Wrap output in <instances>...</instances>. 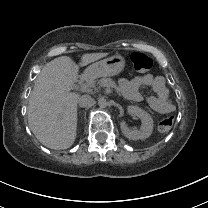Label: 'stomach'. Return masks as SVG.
Wrapping results in <instances>:
<instances>
[{"label": "stomach", "instance_id": "stomach-1", "mask_svg": "<svg viewBox=\"0 0 208 208\" xmlns=\"http://www.w3.org/2000/svg\"><path fill=\"white\" fill-rule=\"evenodd\" d=\"M124 67L125 59L117 54L89 65L84 71V76L94 79L114 76L123 71Z\"/></svg>", "mask_w": 208, "mask_h": 208}]
</instances>
